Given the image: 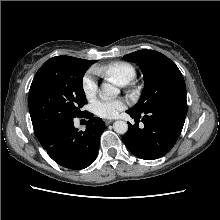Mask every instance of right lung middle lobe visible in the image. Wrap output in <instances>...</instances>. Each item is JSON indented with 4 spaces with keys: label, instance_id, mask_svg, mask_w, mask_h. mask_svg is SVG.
<instances>
[{
    "label": "right lung middle lobe",
    "instance_id": "right-lung-middle-lobe-1",
    "mask_svg": "<svg viewBox=\"0 0 220 220\" xmlns=\"http://www.w3.org/2000/svg\"><path fill=\"white\" fill-rule=\"evenodd\" d=\"M96 60L56 56L37 71L29 90V112L35 135L79 117L87 103L82 86L86 70Z\"/></svg>",
    "mask_w": 220,
    "mask_h": 220
}]
</instances>
